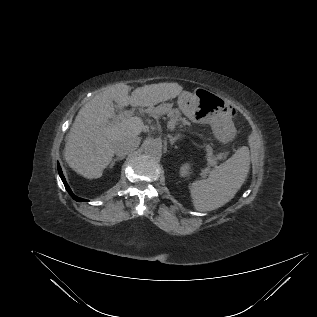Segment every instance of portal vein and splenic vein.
I'll return each instance as SVG.
<instances>
[{"label": "portal vein and splenic vein", "mask_w": 317, "mask_h": 317, "mask_svg": "<svg viewBox=\"0 0 317 317\" xmlns=\"http://www.w3.org/2000/svg\"><path fill=\"white\" fill-rule=\"evenodd\" d=\"M132 115H133L132 111H123V112H120L118 115H116V117L114 118V121H119V120H123V119H126V118L140 119L137 116L132 117ZM169 126H170L171 129H174V127H175L174 121L171 120L169 122Z\"/></svg>", "instance_id": "1"}]
</instances>
